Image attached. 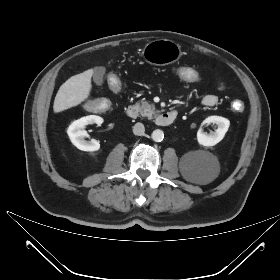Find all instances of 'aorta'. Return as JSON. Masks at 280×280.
Listing matches in <instances>:
<instances>
[{"instance_id":"aorta-1","label":"aorta","mask_w":280,"mask_h":280,"mask_svg":"<svg viewBox=\"0 0 280 280\" xmlns=\"http://www.w3.org/2000/svg\"><path fill=\"white\" fill-rule=\"evenodd\" d=\"M152 140L155 142H161L164 138V133L160 129H156L151 134Z\"/></svg>"}]
</instances>
